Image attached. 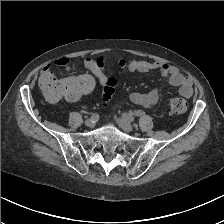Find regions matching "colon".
Masks as SVG:
<instances>
[{"label": "colon", "instance_id": "1", "mask_svg": "<svg viewBox=\"0 0 224 224\" xmlns=\"http://www.w3.org/2000/svg\"><path fill=\"white\" fill-rule=\"evenodd\" d=\"M116 79L110 78L104 85L103 105H107L114 94ZM46 98L50 101H58L62 98L76 100L83 95L90 93L94 88V80L89 76H80L58 81L51 77L41 83ZM168 109L174 114H182L187 110L186 99L173 96L168 100Z\"/></svg>", "mask_w": 224, "mask_h": 224}]
</instances>
